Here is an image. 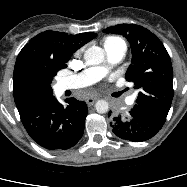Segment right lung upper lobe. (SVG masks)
I'll list each match as a JSON object with an SVG mask.
<instances>
[{
    "instance_id": "obj_1",
    "label": "right lung upper lobe",
    "mask_w": 187,
    "mask_h": 187,
    "mask_svg": "<svg viewBox=\"0 0 187 187\" xmlns=\"http://www.w3.org/2000/svg\"><path fill=\"white\" fill-rule=\"evenodd\" d=\"M96 37L95 33H80L68 35L57 31H45L33 37L20 51L14 68L13 92L14 100L19 112L27 107L49 98L47 96H34L27 92L21 85L20 77L23 69L32 64H55L67 67L72 54Z\"/></svg>"
}]
</instances>
